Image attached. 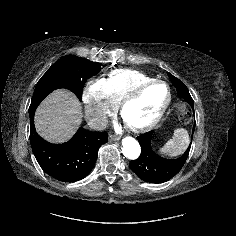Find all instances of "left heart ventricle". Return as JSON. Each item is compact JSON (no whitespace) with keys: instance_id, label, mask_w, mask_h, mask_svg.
<instances>
[{"instance_id":"1","label":"left heart ventricle","mask_w":236,"mask_h":236,"mask_svg":"<svg viewBox=\"0 0 236 236\" xmlns=\"http://www.w3.org/2000/svg\"><path fill=\"white\" fill-rule=\"evenodd\" d=\"M167 97V88L162 84L147 88L136 101L125 108L123 114L125 121L133 125L148 123L158 113Z\"/></svg>"}]
</instances>
